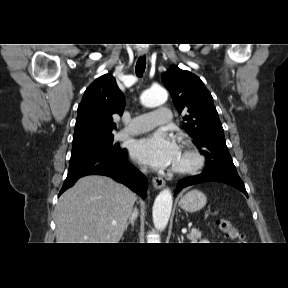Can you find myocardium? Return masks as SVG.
<instances>
[{"instance_id": "myocardium-1", "label": "myocardium", "mask_w": 288, "mask_h": 288, "mask_svg": "<svg viewBox=\"0 0 288 288\" xmlns=\"http://www.w3.org/2000/svg\"><path fill=\"white\" fill-rule=\"evenodd\" d=\"M182 155L184 162L174 165L173 171L176 173L187 174L197 171L203 165L204 159L199 150L188 138H181Z\"/></svg>"}]
</instances>
